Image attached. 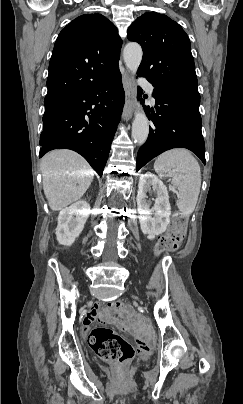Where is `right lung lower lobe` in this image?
I'll use <instances>...</instances> for the list:
<instances>
[{
	"label": "right lung lower lobe",
	"mask_w": 243,
	"mask_h": 404,
	"mask_svg": "<svg viewBox=\"0 0 243 404\" xmlns=\"http://www.w3.org/2000/svg\"><path fill=\"white\" fill-rule=\"evenodd\" d=\"M124 101L119 73L85 91L45 102L40 157L53 149H71L102 176Z\"/></svg>",
	"instance_id": "98d812e1"
}]
</instances>
